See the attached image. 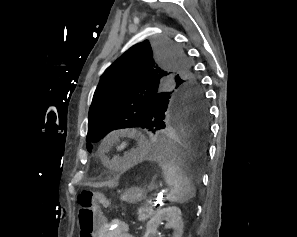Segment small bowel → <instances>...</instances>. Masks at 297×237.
Here are the masks:
<instances>
[{
    "mask_svg": "<svg viewBox=\"0 0 297 237\" xmlns=\"http://www.w3.org/2000/svg\"><path fill=\"white\" fill-rule=\"evenodd\" d=\"M97 237H134L129 233L128 225L118 219L103 222L97 233Z\"/></svg>",
    "mask_w": 297,
    "mask_h": 237,
    "instance_id": "obj_1",
    "label": "small bowel"
}]
</instances>
